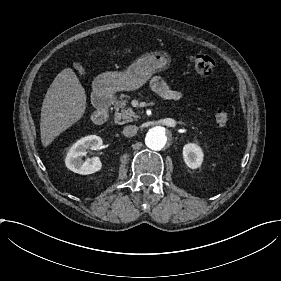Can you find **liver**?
Wrapping results in <instances>:
<instances>
[{
  "instance_id": "liver-1",
  "label": "liver",
  "mask_w": 281,
  "mask_h": 281,
  "mask_svg": "<svg viewBox=\"0 0 281 281\" xmlns=\"http://www.w3.org/2000/svg\"><path fill=\"white\" fill-rule=\"evenodd\" d=\"M41 111L40 132L44 148L85 116L86 92L73 69L67 68L57 74Z\"/></svg>"
}]
</instances>
